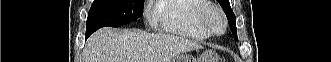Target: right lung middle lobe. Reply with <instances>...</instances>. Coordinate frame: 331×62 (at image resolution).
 <instances>
[{
	"label": "right lung middle lobe",
	"instance_id": "dd1d6c3e",
	"mask_svg": "<svg viewBox=\"0 0 331 62\" xmlns=\"http://www.w3.org/2000/svg\"><path fill=\"white\" fill-rule=\"evenodd\" d=\"M142 0H94L87 19L86 37L101 27H118L142 16Z\"/></svg>",
	"mask_w": 331,
	"mask_h": 62
}]
</instances>
